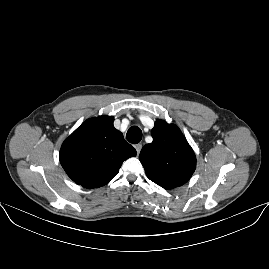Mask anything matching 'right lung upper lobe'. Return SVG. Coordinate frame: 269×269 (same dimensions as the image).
Segmentation results:
<instances>
[{"label": "right lung upper lobe", "instance_id": "obj_1", "mask_svg": "<svg viewBox=\"0 0 269 269\" xmlns=\"http://www.w3.org/2000/svg\"><path fill=\"white\" fill-rule=\"evenodd\" d=\"M112 116L87 119L62 144L60 163L68 176L85 188H98L112 180L123 161L136 156Z\"/></svg>", "mask_w": 269, "mask_h": 269}]
</instances>
